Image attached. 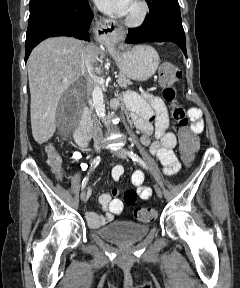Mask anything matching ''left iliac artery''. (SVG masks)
Here are the masks:
<instances>
[{"label":"left iliac artery","instance_id":"left-iliac-artery-1","mask_svg":"<svg viewBox=\"0 0 240 288\" xmlns=\"http://www.w3.org/2000/svg\"><path fill=\"white\" fill-rule=\"evenodd\" d=\"M126 153L133 161L138 162L144 168L148 169L145 162L136 153L133 151H127Z\"/></svg>","mask_w":240,"mask_h":288}]
</instances>
